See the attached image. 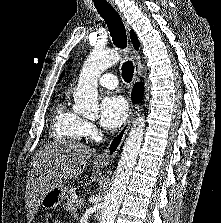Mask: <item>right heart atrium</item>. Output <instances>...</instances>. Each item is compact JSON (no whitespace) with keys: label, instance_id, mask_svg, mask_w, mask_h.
I'll return each mask as SVG.
<instances>
[{"label":"right heart atrium","instance_id":"right-heart-atrium-1","mask_svg":"<svg viewBox=\"0 0 221 223\" xmlns=\"http://www.w3.org/2000/svg\"><path fill=\"white\" fill-rule=\"evenodd\" d=\"M96 133V127L89 121L84 122V134L87 136H93Z\"/></svg>","mask_w":221,"mask_h":223}]
</instances>
